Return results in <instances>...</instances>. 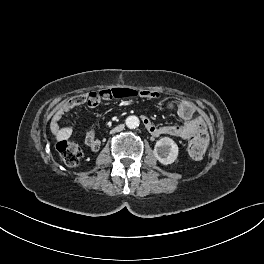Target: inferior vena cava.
<instances>
[{"label": "inferior vena cava", "instance_id": "obj_1", "mask_svg": "<svg viewBox=\"0 0 264 264\" xmlns=\"http://www.w3.org/2000/svg\"><path fill=\"white\" fill-rule=\"evenodd\" d=\"M122 130H124V125H118V126L112 128V133H118Z\"/></svg>", "mask_w": 264, "mask_h": 264}]
</instances>
